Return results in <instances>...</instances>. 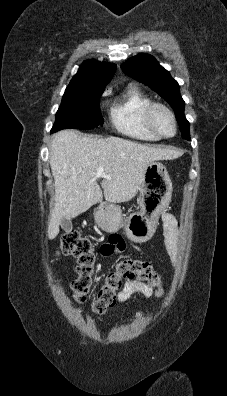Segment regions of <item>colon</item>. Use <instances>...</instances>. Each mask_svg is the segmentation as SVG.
Listing matches in <instances>:
<instances>
[{
	"instance_id": "5ec220e1",
	"label": "colon",
	"mask_w": 227,
	"mask_h": 396,
	"mask_svg": "<svg viewBox=\"0 0 227 396\" xmlns=\"http://www.w3.org/2000/svg\"><path fill=\"white\" fill-rule=\"evenodd\" d=\"M59 251L77 260L78 277L72 282V289L75 300L83 302L89 292L95 268L96 253L93 244L89 238L72 231L62 237ZM133 280L146 282L155 288L157 296L163 295L162 280L152 263L147 260L127 258L107 274L104 284L99 288L92 303L93 312L103 314L109 307H112L124 283Z\"/></svg>"
}]
</instances>
